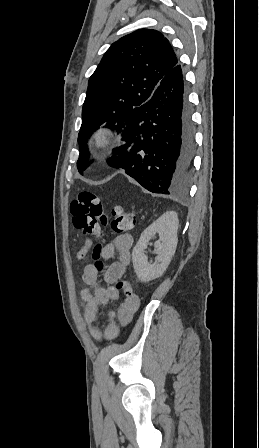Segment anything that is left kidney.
<instances>
[{
  "label": "left kidney",
  "mask_w": 259,
  "mask_h": 448,
  "mask_svg": "<svg viewBox=\"0 0 259 448\" xmlns=\"http://www.w3.org/2000/svg\"><path fill=\"white\" fill-rule=\"evenodd\" d=\"M178 224L179 220L176 212H165L161 218H158L156 222H153L142 232L139 242L132 252L133 268L141 282H151V280L163 276L177 248ZM155 234H159L160 238L159 242H155L158 256L155 258L154 264H149L144 250H146L149 240L154 238Z\"/></svg>",
  "instance_id": "1"
}]
</instances>
